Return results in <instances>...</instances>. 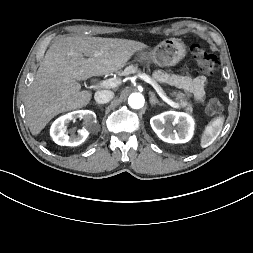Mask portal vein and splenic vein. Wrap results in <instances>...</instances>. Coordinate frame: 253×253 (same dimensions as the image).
Here are the masks:
<instances>
[{"mask_svg": "<svg viewBox=\"0 0 253 253\" xmlns=\"http://www.w3.org/2000/svg\"><path fill=\"white\" fill-rule=\"evenodd\" d=\"M138 77L144 80L145 82L149 83L158 93V95L162 98L164 102L169 104L171 107H178V104L169 99L166 94L164 93L163 89L160 87V85L153 80L149 75L147 74H138ZM120 84V80L117 78H110L107 80H104L100 83V86L103 88H115Z\"/></svg>", "mask_w": 253, "mask_h": 253, "instance_id": "1", "label": "portal vein and splenic vein"}]
</instances>
